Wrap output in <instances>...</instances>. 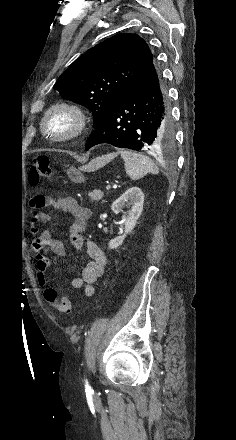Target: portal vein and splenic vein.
I'll return each instance as SVG.
<instances>
[{"label": "portal vein and splenic vein", "instance_id": "obj_1", "mask_svg": "<svg viewBox=\"0 0 236 440\" xmlns=\"http://www.w3.org/2000/svg\"><path fill=\"white\" fill-rule=\"evenodd\" d=\"M110 188H111L110 185H107V186H106V189H107V190H110Z\"/></svg>", "mask_w": 236, "mask_h": 440}]
</instances>
